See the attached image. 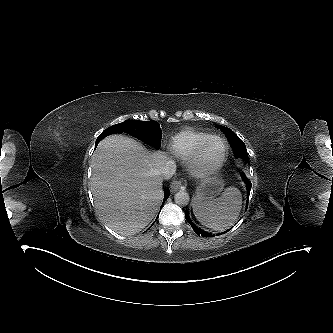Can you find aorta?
I'll return each mask as SVG.
<instances>
[{"label": "aorta", "instance_id": "762f6f07", "mask_svg": "<svg viewBox=\"0 0 333 333\" xmlns=\"http://www.w3.org/2000/svg\"><path fill=\"white\" fill-rule=\"evenodd\" d=\"M175 203L181 206H186L189 203L190 197L186 191L180 190L174 196Z\"/></svg>", "mask_w": 333, "mask_h": 333}]
</instances>
